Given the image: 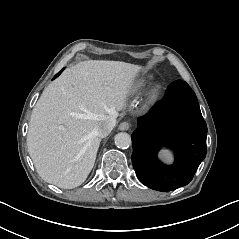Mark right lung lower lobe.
<instances>
[{
  "instance_id": "obj_1",
  "label": "right lung lower lobe",
  "mask_w": 239,
  "mask_h": 239,
  "mask_svg": "<svg viewBox=\"0 0 239 239\" xmlns=\"http://www.w3.org/2000/svg\"><path fill=\"white\" fill-rule=\"evenodd\" d=\"M62 71H63V69L57 75H59Z\"/></svg>"
}]
</instances>
